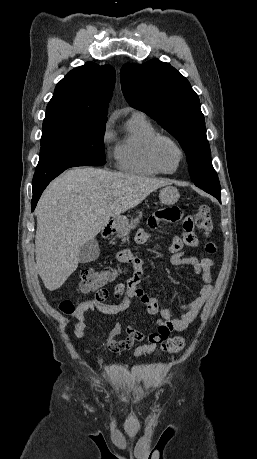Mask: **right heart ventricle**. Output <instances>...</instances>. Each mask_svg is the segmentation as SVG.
<instances>
[{"label": "right heart ventricle", "instance_id": "e07e8e85", "mask_svg": "<svg viewBox=\"0 0 257 459\" xmlns=\"http://www.w3.org/2000/svg\"><path fill=\"white\" fill-rule=\"evenodd\" d=\"M157 129L141 113H134L126 122V132L114 149L117 167L125 172L143 176H156L161 172L152 164L148 155L151 139Z\"/></svg>", "mask_w": 257, "mask_h": 459}]
</instances>
